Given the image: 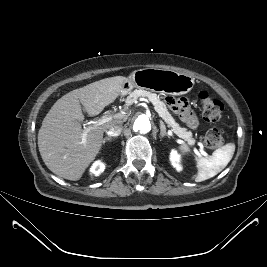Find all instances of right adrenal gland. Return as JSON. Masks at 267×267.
Instances as JSON below:
<instances>
[{"mask_svg":"<svg viewBox=\"0 0 267 267\" xmlns=\"http://www.w3.org/2000/svg\"><path fill=\"white\" fill-rule=\"evenodd\" d=\"M112 140H113L112 137H106V138L103 139V144H105L107 141L111 142Z\"/></svg>","mask_w":267,"mask_h":267,"instance_id":"2a0ac1e0","label":"right adrenal gland"}]
</instances>
